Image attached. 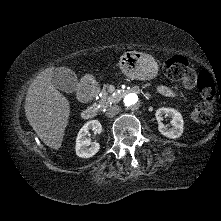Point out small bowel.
I'll return each mask as SVG.
<instances>
[{
	"instance_id": "small-bowel-1",
	"label": "small bowel",
	"mask_w": 221,
	"mask_h": 221,
	"mask_svg": "<svg viewBox=\"0 0 221 221\" xmlns=\"http://www.w3.org/2000/svg\"><path fill=\"white\" fill-rule=\"evenodd\" d=\"M158 91L166 97H176L178 95V93L175 90L167 86L158 87Z\"/></svg>"
}]
</instances>
